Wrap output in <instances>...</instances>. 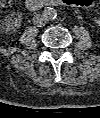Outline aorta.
<instances>
[{
    "label": "aorta",
    "mask_w": 100,
    "mask_h": 118,
    "mask_svg": "<svg viewBox=\"0 0 100 118\" xmlns=\"http://www.w3.org/2000/svg\"><path fill=\"white\" fill-rule=\"evenodd\" d=\"M42 15L45 17L46 21H53L57 17V10L53 7H46Z\"/></svg>",
    "instance_id": "obj_1"
}]
</instances>
